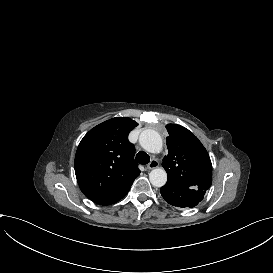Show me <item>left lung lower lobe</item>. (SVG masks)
Instances as JSON below:
<instances>
[{
    "label": "left lung lower lobe",
    "mask_w": 273,
    "mask_h": 273,
    "mask_svg": "<svg viewBox=\"0 0 273 273\" xmlns=\"http://www.w3.org/2000/svg\"><path fill=\"white\" fill-rule=\"evenodd\" d=\"M206 191L196 190L178 185L165 184L160 193L166 202L177 207H194L205 195Z\"/></svg>",
    "instance_id": "obj_1"
}]
</instances>
